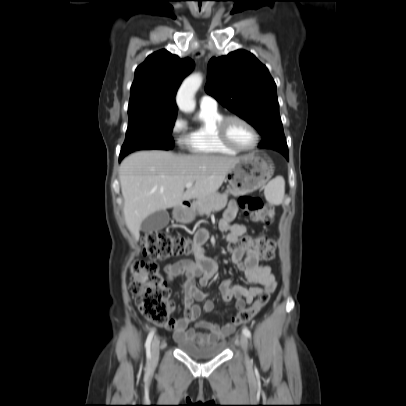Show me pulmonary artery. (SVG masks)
<instances>
[{
  "mask_svg": "<svg viewBox=\"0 0 406 406\" xmlns=\"http://www.w3.org/2000/svg\"><path fill=\"white\" fill-rule=\"evenodd\" d=\"M199 105L200 107L214 108L217 107V101L209 95H203L199 99Z\"/></svg>",
  "mask_w": 406,
  "mask_h": 406,
  "instance_id": "1",
  "label": "pulmonary artery"
}]
</instances>
